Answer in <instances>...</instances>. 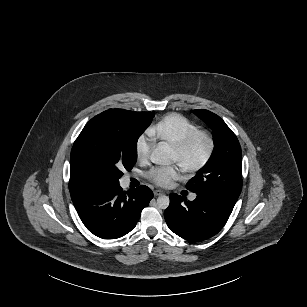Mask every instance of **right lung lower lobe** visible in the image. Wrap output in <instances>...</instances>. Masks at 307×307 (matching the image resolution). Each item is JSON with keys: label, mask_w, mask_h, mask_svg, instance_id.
I'll return each mask as SVG.
<instances>
[{"label": "right lung lower lobe", "mask_w": 307, "mask_h": 307, "mask_svg": "<svg viewBox=\"0 0 307 307\" xmlns=\"http://www.w3.org/2000/svg\"><path fill=\"white\" fill-rule=\"evenodd\" d=\"M152 198L153 192L147 186L127 193L119 183L86 185L71 193L75 209L86 228L103 239H116L129 233Z\"/></svg>", "instance_id": "obj_1"}]
</instances>
